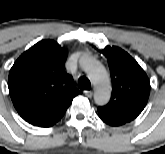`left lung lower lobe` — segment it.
Returning a JSON list of instances; mask_svg holds the SVG:
<instances>
[{"instance_id":"left-lung-lower-lobe-1","label":"left lung lower lobe","mask_w":165,"mask_h":154,"mask_svg":"<svg viewBox=\"0 0 165 154\" xmlns=\"http://www.w3.org/2000/svg\"><path fill=\"white\" fill-rule=\"evenodd\" d=\"M105 123L112 125V126H119L122 125L124 123L120 122V121H115V120H107L105 118H103L102 116H99Z\"/></svg>"}]
</instances>
